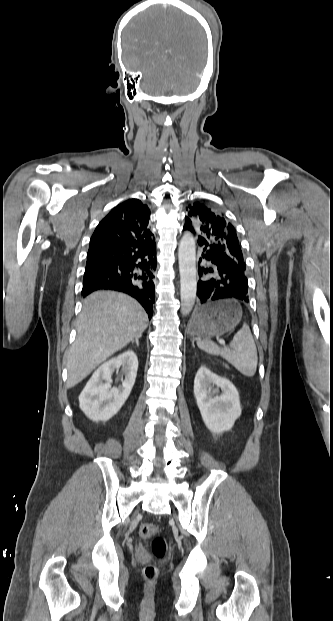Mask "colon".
Returning a JSON list of instances; mask_svg holds the SVG:
<instances>
[{"mask_svg": "<svg viewBox=\"0 0 333 621\" xmlns=\"http://www.w3.org/2000/svg\"><path fill=\"white\" fill-rule=\"evenodd\" d=\"M159 529L151 523H144L139 527V535L144 539L152 538L151 550L156 558H163L166 553V544L162 537L158 536ZM144 579L151 583L158 576V569L154 565H147L143 568Z\"/></svg>", "mask_w": 333, "mask_h": 621, "instance_id": "1", "label": "colon"}]
</instances>
